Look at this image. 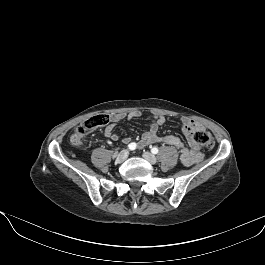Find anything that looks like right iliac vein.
Masks as SVG:
<instances>
[{
    "label": "right iliac vein",
    "mask_w": 265,
    "mask_h": 265,
    "mask_svg": "<svg viewBox=\"0 0 265 265\" xmlns=\"http://www.w3.org/2000/svg\"><path fill=\"white\" fill-rule=\"evenodd\" d=\"M128 154H129V153H128L127 150H122V151L118 154L116 161H117L118 163H122V162H124V161L127 159Z\"/></svg>",
    "instance_id": "63e3f726"
}]
</instances>
